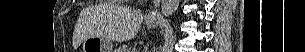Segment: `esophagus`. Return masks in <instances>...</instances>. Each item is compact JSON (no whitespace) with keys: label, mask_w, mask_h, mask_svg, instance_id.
<instances>
[{"label":"esophagus","mask_w":305,"mask_h":52,"mask_svg":"<svg viewBox=\"0 0 305 52\" xmlns=\"http://www.w3.org/2000/svg\"><path fill=\"white\" fill-rule=\"evenodd\" d=\"M159 3H160L159 0H155L153 2V6L150 8V10L146 14L147 19L153 20L157 17V7H158Z\"/></svg>","instance_id":"obj_1"}]
</instances>
